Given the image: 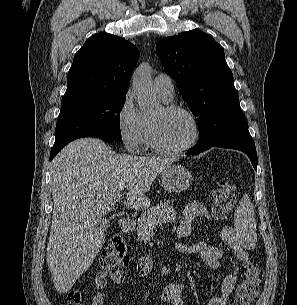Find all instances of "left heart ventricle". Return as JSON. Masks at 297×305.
<instances>
[{
	"label": "left heart ventricle",
	"instance_id": "1",
	"mask_svg": "<svg viewBox=\"0 0 297 305\" xmlns=\"http://www.w3.org/2000/svg\"><path fill=\"white\" fill-rule=\"evenodd\" d=\"M152 120L156 124L159 140L168 148L185 145L193 135L192 123L184 114H167L160 109L152 116Z\"/></svg>",
	"mask_w": 297,
	"mask_h": 305
}]
</instances>
